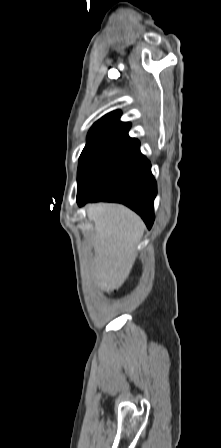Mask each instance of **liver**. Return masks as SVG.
<instances>
[{
  "instance_id": "6515ba94",
  "label": "liver",
  "mask_w": 221,
  "mask_h": 448,
  "mask_svg": "<svg viewBox=\"0 0 221 448\" xmlns=\"http://www.w3.org/2000/svg\"><path fill=\"white\" fill-rule=\"evenodd\" d=\"M94 222L92 274L101 289L120 288L137 258V245L144 233L141 218L120 204L95 203L87 208Z\"/></svg>"
}]
</instances>
